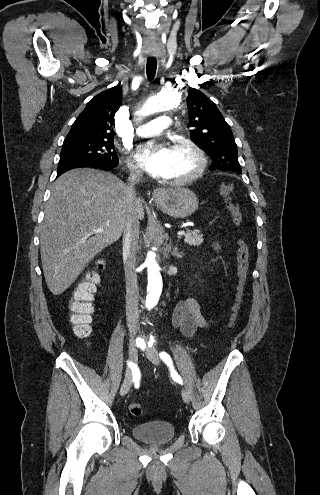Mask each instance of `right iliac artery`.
I'll use <instances>...</instances> for the list:
<instances>
[{
	"label": "right iliac artery",
	"instance_id": "82829eb1",
	"mask_svg": "<svg viewBox=\"0 0 320 495\" xmlns=\"http://www.w3.org/2000/svg\"><path fill=\"white\" fill-rule=\"evenodd\" d=\"M128 366L132 370L133 381H138L140 373H139V370H138L137 366L134 363H132V362H128Z\"/></svg>",
	"mask_w": 320,
	"mask_h": 495
}]
</instances>
